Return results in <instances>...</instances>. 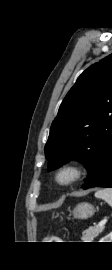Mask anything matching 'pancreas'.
Segmentation results:
<instances>
[{
	"label": "pancreas",
	"instance_id": "pancreas-1",
	"mask_svg": "<svg viewBox=\"0 0 112 270\" xmlns=\"http://www.w3.org/2000/svg\"><path fill=\"white\" fill-rule=\"evenodd\" d=\"M104 230V226L101 227H89L82 233L83 242H93L94 238L97 237Z\"/></svg>",
	"mask_w": 112,
	"mask_h": 270
}]
</instances>
